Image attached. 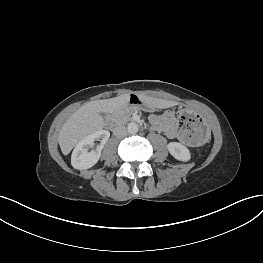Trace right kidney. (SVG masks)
<instances>
[{
    "label": "right kidney",
    "mask_w": 263,
    "mask_h": 263,
    "mask_svg": "<svg viewBox=\"0 0 263 263\" xmlns=\"http://www.w3.org/2000/svg\"><path fill=\"white\" fill-rule=\"evenodd\" d=\"M110 133L107 130L96 131L83 138L74 148L71 156V164L75 169L82 170L94 166L101 157V150L108 141ZM95 141H100V144L95 146Z\"/></svg>",
    "instance_id": "right-kidney-1"
}]
</instances>
